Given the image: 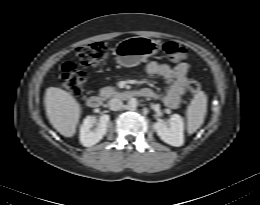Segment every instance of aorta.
I'll return each mask as SVG.
<instances>
[{
  "label": "aorta",
  "mask_w": 260,
  "mask_h": 205,
  "mask_svg": "<svg viewBox=\"0 0 260 205\" xmlns=\"http://www.w3.org/2000/svg\"><path fill=\"white\" fill-rule=\"evenodd\" d=\"M128 105L131 108H136L137 105H138L137 99L136 98H130L129 101H128Z\"/></svg>",
  "instance_id": "762f6f07"
}]
</instances>
